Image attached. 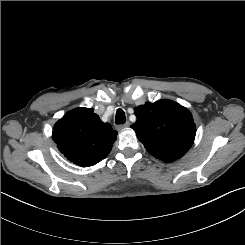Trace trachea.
Here are the masks:
<instances>
[{"label": "trachea", "mask_w": 245, "mask_h": 245, "mask_svg": "<svg viewBox=\"0 0 245 245\" xmlns=\"http://www.w3.org/2000/svg\"><path fill=\"white\" fill-rule=\"evenodd\" d=\"M126 122V116L122 109H118L116 112L115 123L116 124H124Z\"/></svg>", "instance_id": "1"}]
</instances>
